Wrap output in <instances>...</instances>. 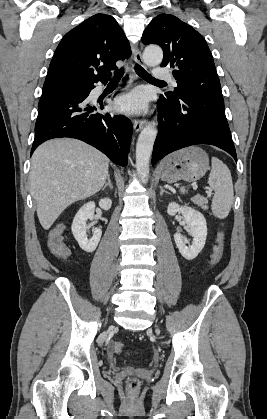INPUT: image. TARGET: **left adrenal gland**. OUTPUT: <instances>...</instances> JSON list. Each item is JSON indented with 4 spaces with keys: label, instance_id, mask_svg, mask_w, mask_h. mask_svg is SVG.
<instances>
[{
    "label": "left adrenal gland",
    "instance_id": "obj_1",
    "mask_svg": "<svg viewBox=\"0 0 267 419\" xmlns=\"http://www.w3.org/2000/svg\"><path fill=\"white\" fill-rule=\"evenodd\" d=\"M160 196H162L163 195V193H166V194H169V192L168 191H166L162 186H160Z\"/></svg>",
    "mask_w": 267,
    "mask_h": 419
}]
</instances>
